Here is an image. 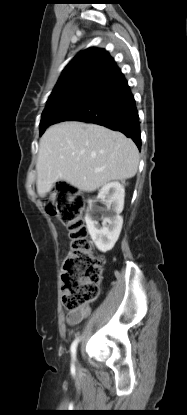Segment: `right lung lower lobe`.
I'll return each instance as SVG.
<instances>
[{
  "instance_id": "1",
  "label": "right lung lower lobe",
  "mask_w": 187,
  "mask_h": 415,
  "mask_svg": "<svg viewBox=\"0 0 187 415\" xmlns=\"http://www.w3.org/2000/svg\"><path fill=\"white\" fill-rule=\"evenodd\" d=\"M91 122L118 130L141 148L138 111L127 80L115 61L78 81L51 113L50 125Z\"/></svg>"
}]
</instances>
